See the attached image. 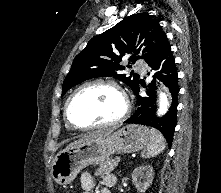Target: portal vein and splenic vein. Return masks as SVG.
I'll use <instances>...</instances> for the list:
<instances>
[{
  "label": "portal vein and splenic vein",
  "mask_w": 221,
  "mask_h": 193,
  "mask_svg": "<svg viewBox=\"0 0 221 193\" xmlns=\"http://www.w3.org/2000/svg\"><path fill=\"white\" fill-rule=\"evenodd\" d=\"M118 165H119V161H116L115 164H114V166L116 167V166H118Z\"/></svg>",
  "instance_id": "18ae733b"
}]
</instances>
